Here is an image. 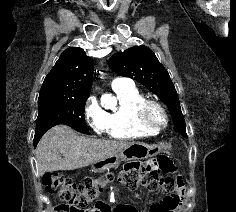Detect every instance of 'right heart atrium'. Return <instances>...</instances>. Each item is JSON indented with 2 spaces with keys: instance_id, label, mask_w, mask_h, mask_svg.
I'll return each instance as SVG.
<instances>
[{
  "instance_id": "1",
  "label": "right heart atrium",
  "mask_w": 236,
  "mask_h": 212,
  "mask_svg": "<svg viewBox=\"0 0 236 212\" xmlns=\"http://www.w3.org/2000/svg\"><path fill=\"white\" fill-rule=\"evenodd\" d=\"M85 119L91 128L98 134L105 132V112L94 97H90L84 109Z\"/></svg>"
}]
</instances>
